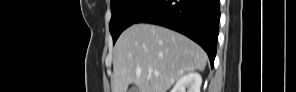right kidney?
I'll return each mask as SVG.
<instances>
[{
  "label": "right kidney",
  "mask_w": 296,
  "mask_h": 92,
  "mask_svg": "<svg viewBox=\"0 0 296 92\" xmlns=\"http://www.w3.org/2000/svg\"><path fill=\"white\" fill-rule=\"evenodd\" d=\"M201 84L202 77L199 73H187L178 79L170 92H200Z\"/></svg>",
  "instance_id": "right-kidney-1"
}]
</instances>
